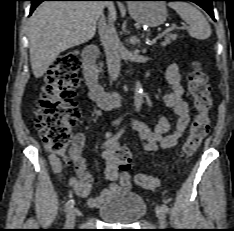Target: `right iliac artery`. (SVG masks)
<instances>
[{"instance_id": "right-iliac-artery-1", "label": "right iliac artery", "mask_w": 234, "mask_h": 231, "mask_svg": "<svg viewBox=\"0 0 234 231\" xmlns=\"http://www.w3.org/2000/svg\"><path fill=\"white\" fill-rule=\"evenodd\" d=\"M123 132L124 130L122 129L119 133L115 135L114 139H118ZM74 203H75L74 199L68 200V202L65 204V211L66 212L69 211L73 207Z\"/></svg>"}]
</instances>
